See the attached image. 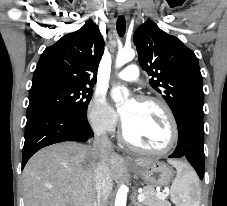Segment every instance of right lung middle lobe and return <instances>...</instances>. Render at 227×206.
Here are the masks:
<instances>
[{
	"label": "right lung middle lobe",
	"mask_w": 227,
	"mask_h": 206,
	"mask_svg": "<svg viewBox=\"0 0 227 206\" xmlns=\"http://www.w3.org/2000/svg\"><path fill=\"white\" fill-rule=\"evenodd\" d=\"M92 88L56 80L32 84L27 116L42 110L85 116L92 98Z\"/></svg>",
	"instance_id": "obj_1"
}]
</instances>
